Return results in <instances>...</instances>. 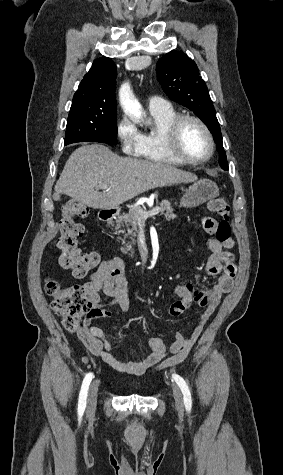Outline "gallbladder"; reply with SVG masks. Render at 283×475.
Masks as SVG:
<instances>
[{"mask_svg":"<svg viewBox=\"0 0 283 475\" xmlns=\"http://www.w3.org/2000/svg\"><path fill=\"white\" fill-rule=\"evenodd\" d=\"M59 198H60L59 194H54L53 200H59Z\"/></svg>","mask_w":283,"mask_h":475,"instance_id":"1","label":"gallbladder"}]
</instances>
